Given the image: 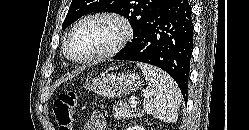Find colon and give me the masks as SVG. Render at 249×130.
<instances>
[{
	"instance_id": "5ec220e1",
	"label": "colon",
	"mask_w": 249,
	"mask_h": 130,
	"mask_svg": "<svg viewBox=\"0 0 249 130\" xmlns=\"http://www.w3.org/2000/svg\"><path fill=\"white\" fill-rule=\"evenodd\" d=\"M76 104L77 95L73 91L62 93L55 100L53 114L59 130H72Z\"/></svg>"
}]
</instances>
